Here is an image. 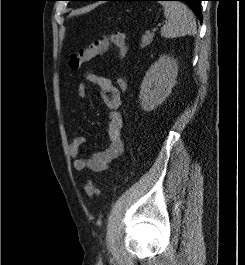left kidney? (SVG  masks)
I'll return each instance as SVG.
<instances>
[{
  "mask_svg": "<svg viewBox=\"0 0 245 265\" xmlns=\"http://www.w3.org/2000/svg\"><path fill=\"white\" fill-rule=\"evenodd\" d=\"M177 74V60L167 55L161 56L150 66L141 83L139 95L144 111H152L165 101L176 83Z\"/></svg>",
  "mask_w": 245,
  "mask_h": 265,
  "instance_id": "obj_1",
  "label": "left kidney"
}]
</instances>
